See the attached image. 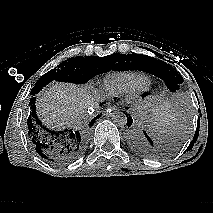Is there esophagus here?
<instances>
[{
    "label": "esophagus",
    "instance_id": "esophagus-1",
    "mask_svg": "<svg viewBox=\"0 0 213 213\" xmlns=\"http://www.w3.org/2000/svg\"><path fill=\"white\" fill-rule=\"evenodd\" d=\"M120 109L117 107V106H112V107H109L108 109H107V113L109 114V115H112V114H114L115 112H118Z\"/></svg>",
    "mask_w": 213,
    "mask_h": 213
}]
</instances>
